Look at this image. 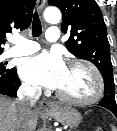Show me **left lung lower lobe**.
<instances>
[{
  "label": "left lung lower lobe",
  "mask_w": 117,
  "mask_h": 131,
  "mask_svg": "<svg viewBox=\"0 0 117 131\" xmlns=\"http://www.w3.org/2000/svg\"><path fill=\"white\" fill-rule=\"evenodd\" d=\"M104 95H105V94H104ZM99 106L104 107V105L102 104V100L100 101ZM105 108H106V107H105ZM107 109H108V108H107ZM109 110L112 111L113 114L117 117V109H115V108H109Z\"/></svg>",
  "instance_id": "1"
}]
</instances>
